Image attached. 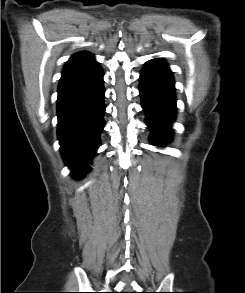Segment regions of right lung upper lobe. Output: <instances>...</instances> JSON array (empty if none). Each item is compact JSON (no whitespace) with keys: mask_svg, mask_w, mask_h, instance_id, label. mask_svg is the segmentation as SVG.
Wrapping results in <instances>:
<instances>
[{"mask_svg":"<svg viewBox=\"0 0 245 293\" xmlns=\"http://www.w3.org/2000/svg\"><path fill=\"white\" fill-rule=\"evenodd\" d=\"M97 67H99V64L91 53L80 52L74 54L67 61L62 71L59 87L92 72Z\"/></svg>","mask_w":245,"mask_h":293,"instance_id":"obj_1","label":"right lung upper lobe"}]
</instances>
